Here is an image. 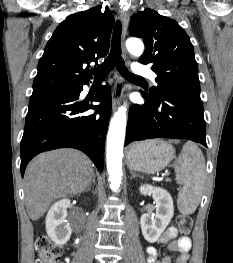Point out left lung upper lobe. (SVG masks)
Instances as JSON below:
<instances>
[{
    "label": "left lung upper lobe",
    "mask_w": 233,
    "mask_h": 263,
    "mask_svg": "<svg viewBox=\"0 0 233 263\" xmlns=\"http://www.w3.org/2000/svg\"><path fill=\"white\" fill-rule=\"evenodd\" d=\"M129 31L145 42V51L139 62L152 64V70L157 74L158 86L149 92L152 97L172 88L200 92L193 45L176 21L145 9L133 15Z\"/></svg>",
    "instance_id": "obj_1"
}]
</instances>
